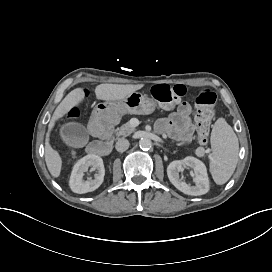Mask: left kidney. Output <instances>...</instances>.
Returning a JSON list of instances; mask_svg holds the SVG:
<instances>
[{
    "label": "left kidney",
    "mask_w": 272,
    "mask_h": 272,
    "mask_svg": "<svg viewBox=\"0 0 272 272\" xmlns=\"http://www.w3.org/2000/svg\"><path fill=\"white\" fill-rule=\"evenodd\" d=\"M183 165L194 170L196 183L195 186H190L179 179V172ZM167 175L170 182L181 192L187 195H203L209 191V179L205 164L199 159L187 156L183 160L172 161L167 167Z\"/></svg>",
    "instance_id": "5707ae66"
}]
</instances>
